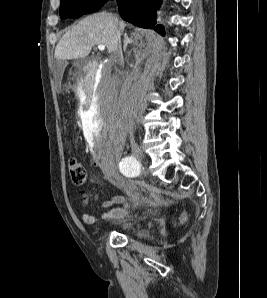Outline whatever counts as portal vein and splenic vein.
Returning <instances> with one entry per match:
<instances>
[{
    "label": "portal vein and splenic vein",
    "mask_w": 267,
    "mask_h": 298,
    "mask_svg": "<svg viewBox=\"0 0 267 298\" xmlns=\"http://www.w3.org/2000/svg\"><path fill=\"white\" fill-rule=\"evenodd\" d=\"M97 47H98V49H99L100 51L105 50V46L102 45V44H99Z\"/></svg>",
    "instance_id": "1"
}]
</instances>
